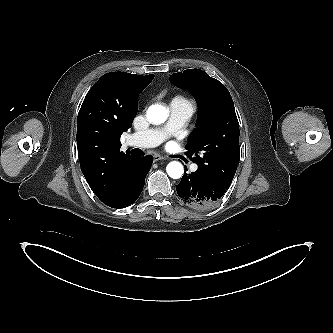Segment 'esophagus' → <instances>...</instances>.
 Returning a JSON list of instances; mask_svg holds the SVG:
<instances>
[{"mask_svg": "<svg viewBox=\"0 0 333 333\" xmlns=\"http://www.w3.org/2000/svg\"><path fill=\"white\" fill-rule=\"evenodd\" d=\"M165 158L163 157V156H161V155H159V154H155L154 156H153V161L154 162H157V161H159V160H164Z\"/></svg>", "mask_w": 333, "mask_h": 333, "instance_id": "1", "label": "esophagus"}]
</instances>
